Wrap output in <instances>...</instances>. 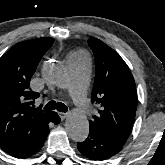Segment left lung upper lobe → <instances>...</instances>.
Instances as JSON below:
<instances>
[{
  "label": "left lung upper lobe",
  "mask_w": 165,
  "mask_h": 165,
  "mask_svg": "<svg viewBox=\"0 0 165 165\" xmlns=\"http://www.w3.org/2000/svg\"><path fill=\"white\" fill-rule=\"evenodd\" d=\"M96 63L91 102L99 107V116L89 124L126 140L137 108V92L131 71L120 55L96 38H90Z\"/></svg>",
  "instance_id": "left-lung-upper-lobe-1"
}]
</instances>
